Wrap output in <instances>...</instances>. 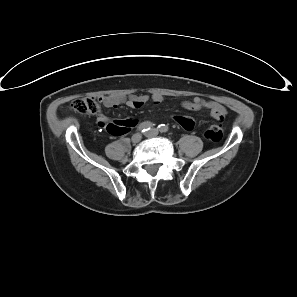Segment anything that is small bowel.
Instances as JSON below:
<instances>
[{"label":"small bowel","mask_w":297,"mask_h":297,"mask_svg":"<svg viewBox=\"0 0 297 297\" xmlns=\"http://www.w3.org/2000/svg\"><path fill=\"white\" fill-rule=\"evenodd\" d=\"M149 100L150 98L146 95L131 96L128 98L105 96L102 98L103 104L108 108H116L119 105L124 104L130 108L139 109L142 108ZM151 100L154 103H160L163 100V97L160 95H153ZM182 105L187 110L207 109L210 111V116L218 121H222L227 114V110L223 105L198 97L193 98L191 101H185ZM174 120L186 130H190L194 126L193 119L187 116H175ZM134 124V119H120L110 122L102 115L94 121V126L96 128H100L101 130L107 129L110 133L117 135L126 133Z\"/></svg>","instance_id":"c3829d8e"}]
</instances>
